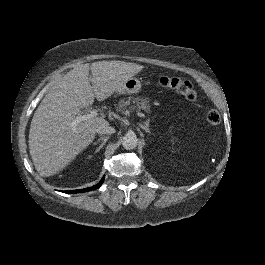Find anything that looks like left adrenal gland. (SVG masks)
Masks as SVG:
<instances>
[{
  "label": "left adrenal gland",
  "instance_id": "1",
  "mask_svg": "<svg viewBox=\"0 0 265 265\" xmlns=\"http://www.w3.org/2000/svg\"><path fill=\"white\" fill-rule=\"evenodd\" d=\"M149 122H150V120L147 119L143 124L142 123H139V127L141 129L145 130V132H147V133L150 134L151 132H150V129H149Z\"/></svg>",
  "mask_w": 265,
  "mask_h": 265
}]
</instances>
